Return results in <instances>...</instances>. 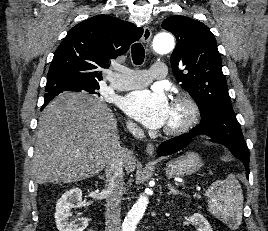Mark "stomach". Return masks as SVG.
<instances>
[{"label":"stomach","instance_id":"obj_1","mask_svg":"<svg viewBox=\"0 0 268 231\" xmlns=\"http://www.w3.org/2000/svg\"><path fill=\"white\" fill-rule=\"evenodd\" d=\"M202 166L201 158L193 152L169 161L164 170L168 177H183L195 173Z\"/></svg>","mask_w":268,"mask_h":231}]
</instances>
